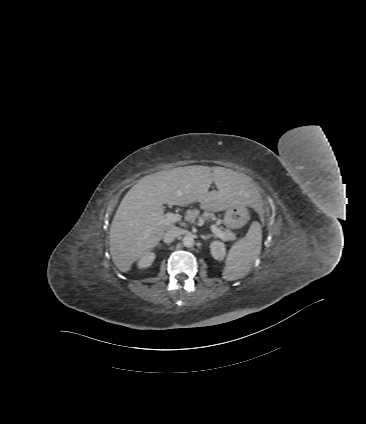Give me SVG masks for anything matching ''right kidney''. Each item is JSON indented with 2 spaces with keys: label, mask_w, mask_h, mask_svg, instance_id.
<instances>
[{
  "label": "right kidney",
  "mask_w": 366,
  "mask_h": 424,
  "mask_svg": "<svg viewBox=\"0 0 366 424\" xmlns=\"http://www.w3.org/2000/svg\"><path fill=\"white\" fill-rule=\"evenodd\" d=\"M156 255L154 252H148L144 254L142 257H140L138 261V267L139 268H148L152 265Z\"/></svg>",
  "instance_id": "obj_1"
}]
</instances>
